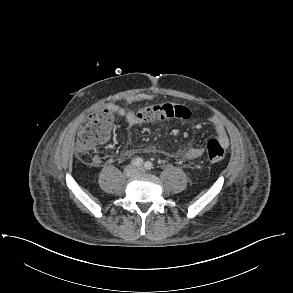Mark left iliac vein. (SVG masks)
I'll return each mask as SVG.
<instances>
[{"label": "left iliac vein", "instance_id": "1", "mask_svg": "<svg viewBox=\"0 0 293 293\" xmlns=\"http://www.w3.org/2000/svg\"><path fill=\"white\" fill-rule=\"evenodd\" d=\"M139 172H141V169H140V168L138 169V173H139Z\"/></svg>", "mask_w": 293, "mask_h": 293}]
</instances>
